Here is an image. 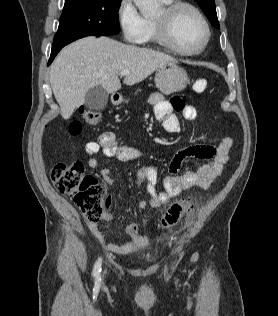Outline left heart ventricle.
I'll return each instance as SVG.
<instances>
[{
	"label": "left heart ventricle",
	"instance_id": "1",
	"mask_svg": "<svg viewBox=\"0 0 278 316\" xmlns=\"http://www.w3.org/2000/svg\"><path fill=\"white\" fill-rule=\"evenodd\" d=\"M174 32L180 45L188 50L201 47L206 35L202 22L189 9H183L177 14L174 20Z\"/></svg>",
	"mask_w": 278,
	"mask_h": 316
}]
</instances>
